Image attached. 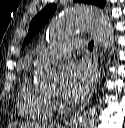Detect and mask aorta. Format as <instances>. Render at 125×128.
Listing matches in <instances>:
<instances>
[{"label": "aorta", "mask_w": 125, "mask_h": 128, "mask_svg": "<svg viewBox=\"0 0 125 128\" xmlns=\"http://www.w3.org/2000/svg\"><path fill=\"white\" fill-rule=\"evenodd\" d=\"M81 31H90L106 49L114 45L110 18L101 9L87 4H77L66 10L49 26L46 38H63ZM35 79L36 85L44 90L55 89L59 84V74L48 65L37 68ZM96 107L84 113L73 128H93L97 115Z\"/></svg>", "instance_id": "1"}]
</instances>
